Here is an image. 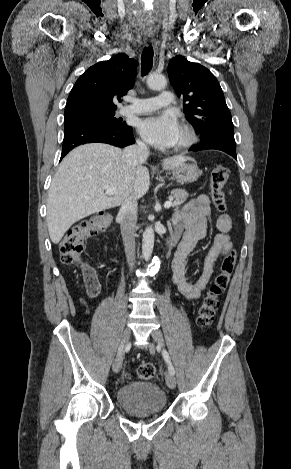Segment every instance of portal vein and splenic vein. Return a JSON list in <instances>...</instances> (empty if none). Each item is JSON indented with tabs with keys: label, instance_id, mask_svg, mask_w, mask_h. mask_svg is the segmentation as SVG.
Returning a JSON list of instances; mask_svg holds the SVG:
<instances>
[{
	"label": "portal vein and splenic vein",
	"instance_id": "18ae733b",
	"mask_svg": "<svg viewBox=\"0 0 291 469\" xmlns=\"http://www.w3.org/2000/svg\"><path fill=\"white\" fill-rule=\"evenodd\" d=\"M103 188H104L105 193L107 195H113L116 192V188H114V187L104 186ZM172 205H173L172 201H167V202H165L164 207L166 209H169Z\"/></svg>",
	"mask_w": 291,
	"mask_h": 469
}]
</instances>
